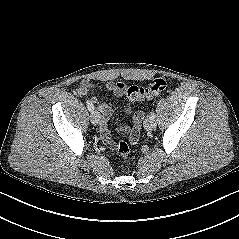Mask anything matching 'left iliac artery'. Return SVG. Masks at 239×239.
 <instances>
[{
	"label": "left iliac artery",
	"mask_w": 239,
	"mask_h": 239,
	"mask_svg": "<svg viewBox=\"0 0 239 239\" xmlns=\"http://www.w3.org/2000/svg\"><path fill=\"white\" fill-rule=\"evenodd\" d=\"M155 116H156L155 113H154V112H151L150 117L154 119Z\"/></svg>",
	"instance_id": "left-iliac-artery-1"
}]
</instances>
